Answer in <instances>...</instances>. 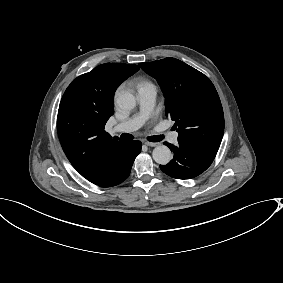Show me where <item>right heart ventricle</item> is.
Instances as JSON below:
<instances>
[{
	"label": "right heart ventricle",
	"mask_w": 283,
	"mask_h": 283,
	"mask_svg": "<svg viewBox=\"0 0 283 283\" xmlns=\"http://www.w3.org/2000/svg\"><path fill=\"white\" fill-rule=\"evenodd\" d=\"M134 83L139 87H144V86H148L150 85V83L148 81H146L144 78L142 77H136L134 78Z\"/></svg>",
	"instance_id": "obj_1"
}]
</instances>
